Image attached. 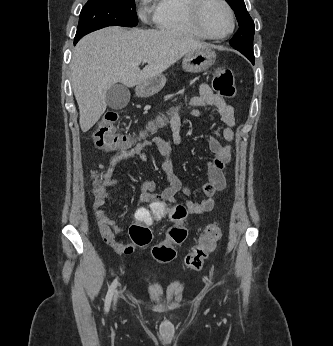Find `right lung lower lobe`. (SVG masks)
Segmentation results:
<instances>
[{
	"label": "right lung lower lobe",
	"mask_w": 333,
	"mask_h": 346,
	"mask_svg": "<svg viewBox=\"0 0 333 346\" xmlns=\"http://www.w3.org/2000/svg\"><path fill=\"white\" fill-rule=\"evenodd\" d=\"M77 42H78V41H77V40H75V41H74V44H76Z\"/></svg>",
	"instance_id": "right-lung-lower-lobe-1"
}]
</instances>
